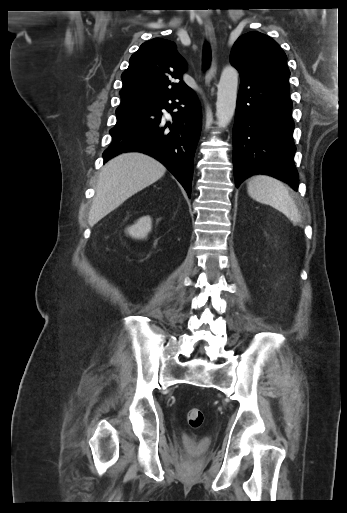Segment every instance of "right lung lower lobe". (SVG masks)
I'll return each mask as SVG.
<instances>
[{
  "label": "right lung lower lobe",
  "mask_w": 347,
  "mask_h": 513,
  "mask_svg": "<svg viewBox=\"0 0 347 513\" xmlns=\"http://www.w3.org/2000/svg\"><path fill=\"white\" fill-rule=\"evenodd\" d=\"M162 109L171 113L170 121L162 116ZM116 116L117 123L110 130L113 140L103 154L104 162L122 152L148 154L170 170L190 197L193 158L201 131V107L194 91L117 112Z\"/></svg>",
  "instance_id": "right-lung-lower-lobe-1"
}]
</instances>
